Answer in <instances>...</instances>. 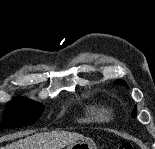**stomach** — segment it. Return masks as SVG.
Returning a JSON list of instances; mask_svg holds the SVG:
<instances>
[{"label":"stomach","mask_w":155,"mask_h":149,"mask_svg":"<svg viewBox=\"0 0 155 149\" xmlns=\"http://www.w3.org/2000/svg\"><path fill=\"white\" fill-rule=\"evenodd\" d=\"M66 149H97L96 143L87 138L80 139L67 145Z\"/></svg>","instance_id":"stomach-1"}]
</instances>
